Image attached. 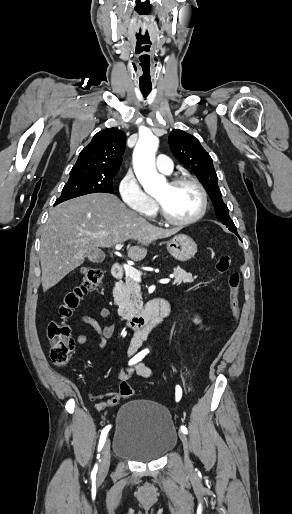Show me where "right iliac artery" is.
Masks as SVG:
<instances>
[{
  "mask_svg": "<svg viewBox=\"0 0 292 514\" xmlns=\"http://www.w3.org/2000/svg\"><path fill=\"white\" fill-rule=\"evenodd\" d=\"M146 354H147V352H146V351H141V352H139L138 354H136V355H135V356H134V357L129 361V363H128V364H129V365H134V364H136L137 362L141 361V360L145 357V355H146ZM110 429H111V425H108V426H106V427L102 430V432H101V436H100V440H99V445H98V451H99V452L101 451V449H102V447H103V445H104V443H105V441H106V437H107L108 432H109V430H110ZM98 457H99V454H98ZM97 469H98V466H97V464H96V465L94 466V468H93L92 476H94V477H95V475H96V473H97Z\"/></svg>",
  "mask_w": 292,
  "mask_h": 514,
  "instance_id": "1",
  "label": "right iliac artery"
}]
</instances>
